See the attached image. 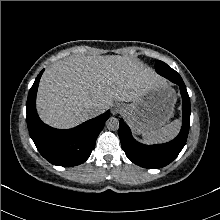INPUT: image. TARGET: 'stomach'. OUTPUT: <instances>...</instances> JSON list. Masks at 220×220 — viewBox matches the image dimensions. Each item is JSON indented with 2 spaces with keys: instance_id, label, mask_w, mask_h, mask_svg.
<instances>
[{
  "instance_id": "0dacf381",
  "label": "stomach",
  "mask_w": 220,
  "mask_h": 220,
  "mask_svg": "<svg viewBox=\"0 0 220 220\" xmlns=\"http://www.w3.org/2000/svg\"><path fill=\"white\" fill-rule=\"evenodd\" d=\"M176 99L175 90L162 80L125 105L123 114L135 133L155 130L172 117Z\"/></svg>"
}]
</instances>
